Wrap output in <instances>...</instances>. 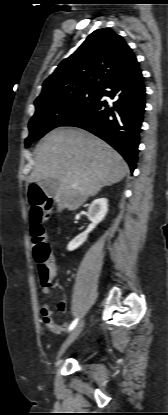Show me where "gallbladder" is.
I'll return each instance as SVG.
<instances>
[{"label":"gallbladder","instance_id":"obj_1","mask_svg":"<svg viewBox=\"0 0 168 415\" xmlns=\"http://www.w3.org/2000/svg\"><path fill=\"white\" fill-rule=\"evenodd\" d=\"M38 183L47 195H55L60 186V181L57 178L42 179Z\"/></svg>","mask_w":168,"mask_h":415}]
</instances>
